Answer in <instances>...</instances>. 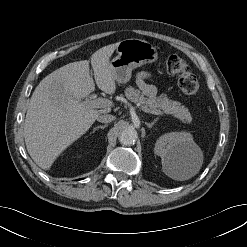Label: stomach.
Returning <instances> with one entry per match:
<instances>
[{
    "label": "stomach",
    "instance_id": "obj_1",
    "mask_svg": "<svg viewBox=\"0 0 247 247\" xmlns=\"http://www.w3.org/2000/svg\"><path fill=\"white\" fill-rule=\"evenodd\" d=\"M117 56L110 62L114 79L127 83L132 70L144 64L153 63L158 58L157 49L149 42L137 38L124 39L118 43Z\"/></svg>",
    "mask_w": 247,
    "mask_h": 247
}]
</instances>
